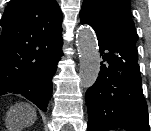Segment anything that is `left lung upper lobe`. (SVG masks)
Returning a JSON list of instances; mask_svg holds the SVG:
<instances>
[{"label":"left lung upper lobe","instance_id":"obj_1","mask_svg":"<svg viewBox=\"0 0 151 131\" xmlns=\"http://www.w3.org/2000/svg\"><path fill=\"white\" fill-rule=\"evenodd\" d=\"M80 21L105 33L134 61H138V35L131 18L129 0H84Z\"/></svg>","mask_w":151,"mask_h":131}]
</instances>
